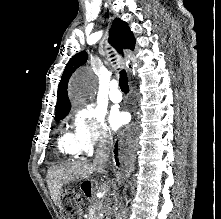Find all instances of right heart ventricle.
<instances>
[{
    "instance_id": "e07e8e85",
    "label": "right heart ventricle",
    "mask_w": 221,
    "mask_h": 219,
    "mask_svg": "<svg viewBox=\"0 0 221 219\" xmlns=\"http://www.w3.org/2000/svg\"><path fill=\"white\" fill-rule=\"evenodd\" d=\"M58 147L65 156L74 157L80 154L72 133H64L58 140Z\"/></svg>"
}]
</instances>
